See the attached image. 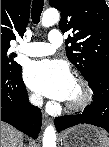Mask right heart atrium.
I'll return each mask as SVG.
<instances>
[{
    "label": "right heart atrium",
    "instance_id": "d8ad5b80",
    "mask_svg": "<svg viewBox=\"0 0 109 147\" xmlns=\"http://www.w3.org/2000/svg\"><path fill=\"white\" fill-rule=\"evenodd\" d=\"M30 99H31V101L33 102V103H38L39 102V100H40V98H39V96L37 95V94H30Z\"/></svg>",
    "mask_w": 109,
    "mask_h": 147
}]
</instances>
